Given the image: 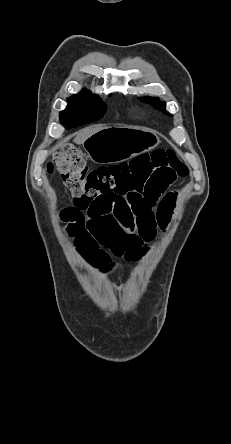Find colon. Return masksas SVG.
I'll return each mask as SVG.
<instances>
[{"label": "colon", "instance_id": "colon-1", "mask_svg": "<svg viewBox=\"0 0 231 444\" xmlns=\"http://www.w3.org/2000/svg\"><path fill=\"white\" fill-rule=\"evenodd\" d=\"M57 169L74 200L122 198L134 208L147 198L154 186L167 187L188 168L173 150H157L136 157L128 163L90 170L73 146H64L48 165Z\"/></svg>", "mask_w": 231, "mask_h": 444}]
</instances>
